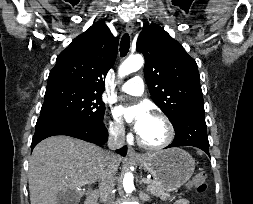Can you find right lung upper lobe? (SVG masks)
Returning <instances> with one entry per match:
<instances>
[{
  "label": "right lung upper lobe",
  "instance_id": "obj_1",
  "mask_svg": "<svg viewBox=\"0 0 253 204\" xmlns=\"http://www.w3.org/2000/svg\"><path fill=\"white\" fill-rule=\"evenodd\" d=\"M117 51L118 38L101 20L58 55L47 85H74L101 94L104 90L103 78L113 66Z\"/></svg>",
  "mask_w": 253,
  "mask_h": 204
}]
</instances>
